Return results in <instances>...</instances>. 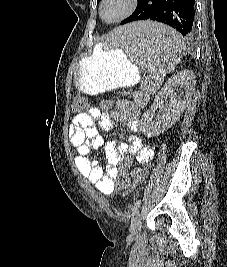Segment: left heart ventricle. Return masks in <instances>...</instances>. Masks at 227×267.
I'll return each instance as SVG.
<instances>
[{
	"label": "left heart ventricle",
	"instance_id": "1",
	"mask_svg": "<svg viewBox=\"0 0 227 267\" xmlns=\"http://www.w3.org/2000/svg\"><path fill=\"white\" fill-rule=\"evenodd\" d=\"M126 7V0H110L104 9L106 19H114L119 16Z\"/></svg>",
	"mask_w": 227,
	"mask_h": 267
}]
</instances>
